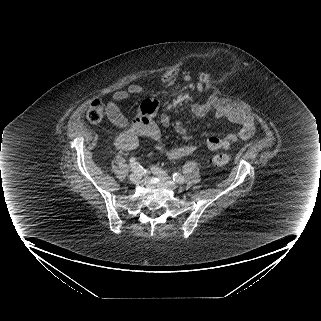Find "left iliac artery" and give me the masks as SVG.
I'll return each instance as SVG.
<instances>
[{
    "mask_svg": "<svg viewBox=\"0 0 321 321\" xmlns=\"http://www.w3.org/2000/svg\"><path fill=\"white\" fill-rule=\"evenodd\" d=\"M172 178H173V180H174L175 182H177V183H179V184H182V183H184V181H185L184 177H183L181 174H179V173H174V174L172 175Z\"/></svg>",
    "mask_w": 321,
    "mask_h": 321,
    "instance_id": "left-iliac-artery-1",
    "label": "left iliac artery"
}]
</instances>
